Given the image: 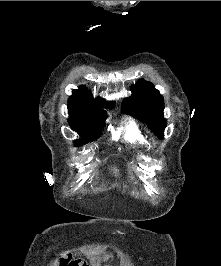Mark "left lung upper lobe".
I'll return each instance as SVG.
<instances>
[{"label":"left lung upper lobe","mask_w":221,"mask_h":266,"mask_svg":"<svg viewBox=\"0 0 221 266\" xmlns=\"http://www.w3.org/2000/svg\"><path fill=\"white\" fill-rule=\"evenodd\" d=\"M132 95L124 99L122 111L146 122L148 127L160 138H164L166 119L163 117L164 100L154 85L144 79L131 87Z\"/></svg>","instance_id":"left-lung-upper-lobe-1"}]
</instances>
